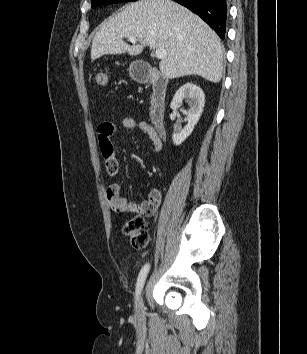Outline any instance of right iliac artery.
I'll use <instances>...</instances> for the list:
<instances>
[{"mask_svg": "<svg viewBox=\"0 0 307 354\" xmlns=\"http://www.w3.org/2000/svg\"><path fill=\"white\" fill-rule=\"evenodd\" d=\"M149 269H150L149 264L144 265V267L141 269V271L138 275L137 284H136V293H135L136 300L138 299V297L141 293V290L144 286Z\"/></svg>", "mask_w": 307, "mask_h": 354, "instance_id": "obj_1", "label": "right iliac artery"}]
</instances>
